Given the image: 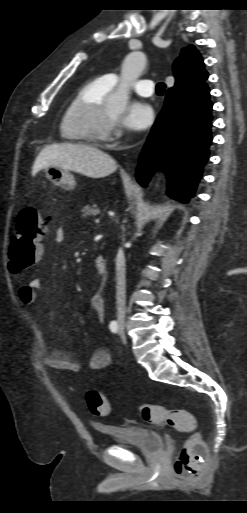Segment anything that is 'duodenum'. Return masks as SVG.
Masks as SVG:
<instances>
[{"instance_id":"duodenum-1","label":"duodenum","mask_w":247,"mask_h":513,"mask_svg":"<svg viewBox=\"0 0 247 513\" xmlns=\"http://www.w3.org/2000/svg\"><path fill=\"white\" fill-rule=\"evenodd\" d=\"M94 266L98 275V278L101 281H104L107 276V261L103 255H99L96 257Z\"/></svg>"}]
</instances>
